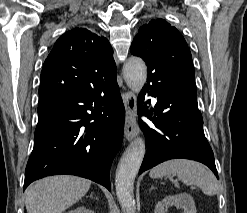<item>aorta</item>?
Returning <instances> with one entry per match:
<instances>
[{"mask_svg": "<svg viewBox=\"0 0 247 213\" xmlns=\"http://www.w3.org/2000/svg\"><path fill=\"white\" fill-rule=\"evenodd\" d=\"M127 86L139 93L147 79V67L138 57H130L123 68ZM145 141L137 137L123 153L116 170L115 185L118 201L126 213H134V180L145 155Z\"/></svg>", "mask_w": 247, "mask_h": 213, "instance_id": "obj_1", "label": "aorta"}]
</instances>
